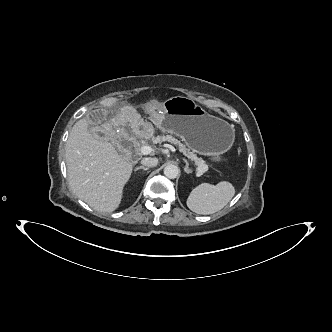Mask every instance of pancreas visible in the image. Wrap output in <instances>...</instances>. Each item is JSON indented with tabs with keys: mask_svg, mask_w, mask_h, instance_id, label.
Listing matches in <instances>:
<instances>
[{
	"mask_svg": "<svg viewBox=\"0 0 332 332\" xmlns=\"http://www.w3.org/2000/svg\"><path fill=\"white\" fill-rule=\"evenodd\" d=\"M169 142L171 144H174L175 146L179 147L180 152H183L186 154V156L195 162V165L197 166V170L201 169L207 171L208 166L205 164V161L202 160L201 158L197 157L194 152H190L188 148H186L185 145H183L178 139L173 137L172 135H163V136H157L152 138V142L154 144H160L162 142Z\"/></svg>",
	"mask_w": 332,
	"mask_h": 332,
	"instance_id": "obj_1",
	"label": "pancreas"
}]
</instances>
